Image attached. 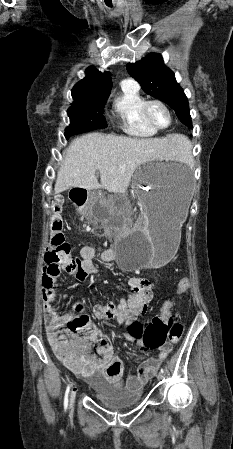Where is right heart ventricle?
I'll list each match as a JSON object with an SVG mask.
<instances>
[{
  "instance_id": "1",
  "label": "right heart ventricle",
  "mask_w": 233,
  "mask_h": 449,
  "mask_svg": "<svg viewBox=\"0 0 233 449\" xmlns=\"http://www.w3.org/2000/svg\"><path fill=\"white\" fill-rule=\"evenodd\" d=\"M146 98L137 85L121 83V92L114 98L112 112L119 119L122 130L136 138H149L157 131L152 129L142 118L141 108Z\"/></svg>"
}]
</instances>
